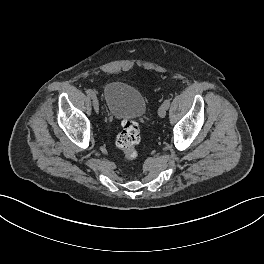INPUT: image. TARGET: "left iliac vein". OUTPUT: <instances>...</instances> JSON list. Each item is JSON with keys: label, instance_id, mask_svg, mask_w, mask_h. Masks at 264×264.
Masks as SVG:
<instances>
[{"label": "left iliac vein", "instance_id": "1", "mask_svg": "<svg viewBox=\"0 0 264 264\" xmlns=\"http://www.w3.org/2000/svg\"><path fill=\"white\" fill-rule=\"evenodd\" d=\"M166 111H167V107L166 105L163 103L159 109H158V115L160 118H164L166 116Z\"/></svg>", "mask_w": 264, "mask_h": 264}]
</instances>
